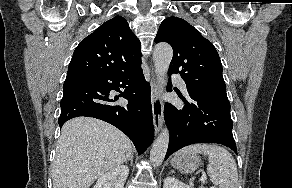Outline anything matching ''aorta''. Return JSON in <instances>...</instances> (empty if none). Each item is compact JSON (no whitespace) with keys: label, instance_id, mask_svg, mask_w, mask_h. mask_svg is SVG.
<instances>
[{"label":"aorta","instance_id":"aorta-1","mask_svg":"<svg viewBox=\"0 0 292 188\" xmlns=\"http://www.w3.org/2000/svg\"><path fill=\"white\" fill-rule=\"evenodd\" d=\"M173 50L167 43H159L155 46L153 52V61L155 73L158 82L164 86L166 84V75L172 60ZM169 131L164 128L156 141L154 142L150 151V161L153 166H159L165 158L168 145H169Z\"/></svg>","mask_w":292,"mask_h":188}]
</instances>
